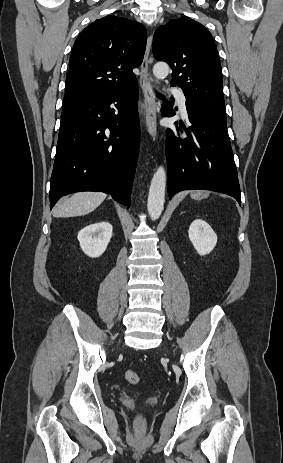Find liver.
Returning <instances> with one entry per match:
<instances>
[{
    "label": "liver",
    "mask_w": 283,
    "mask_h": 463,
    "mask_svg": "<svg viewBox=\"0 0 283 463\" xmlns=\"http://www.w3.org/2000/svg\"><path fill=\"white\" fill-rule=\"evenodd\" d=\"M106 195L100 192H80L61 201L53 210L57 218L86 215L95 210L105 199Z\"/></svg>",
    "instance_id": "6515ba94"
}]
</instances>
